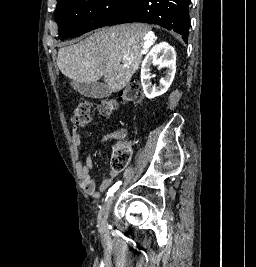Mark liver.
Instances as JSON below:
<instances>
[{"label":"liver","mask_w":256,"mask_h":267,"mask_svg":"<svg viewBox=\"0 0 256 267\" xmlns=\"http://www.w3.org/2000/svg\"><path fill=\"white\" fill-rule=\"evenodd\" d=\"M147 32L145 24H120L95 30L83 42L60 48L57 66L71 80L91 84L104 78L111 92H119L141 64Z\"/></svg>","instance_id":"6515ba94"}]
</instances>
